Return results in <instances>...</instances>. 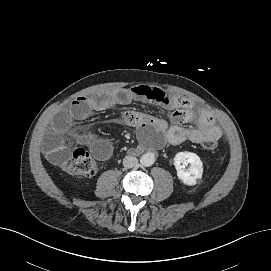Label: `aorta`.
<instances>
[{"label":"aorta","mask_w":271,"mask_h":271,"mask_svg":"<svg viewBox=\"0 0 271 271\" xmlns=\"http://www.w3.org/2000/svg\"><path fill=\"white\" fill-rule=\"evenodd\" d=\"M154 161H155V157H154V154L152 153H146L142 155V157L140 158V163L144 167L151 166L154 163Z\"/></svg>","instance_id":"1"}]
</instances>
